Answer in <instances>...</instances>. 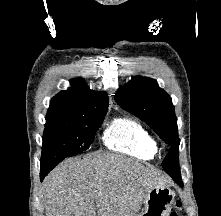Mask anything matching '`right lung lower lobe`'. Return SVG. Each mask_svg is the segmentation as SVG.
Instances as JSON below:
<instances>
[{"mask_svg":"<svg viewBox=\"0 0 221 216\" xmlns=\"http://www.w3.org/2000/svg\"><path fill=\"white\" fill-rule=\"evenodd\" d=\"M53 168H54V167H52V166H50V167L41 166L40 179L43 180V178H44Z\"/></svg>","mask_w":221,"mask_h":216,"instance_id":"98d812e1","label":"right lung lower lobe"}]
</instances>
